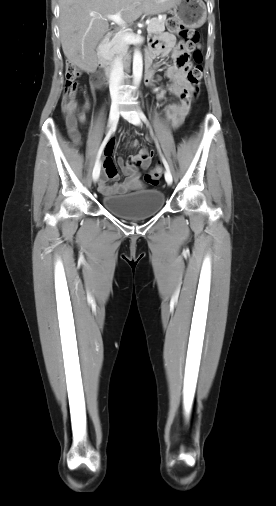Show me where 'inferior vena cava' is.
Returning <instances> with one entry per match:
<instances>
[{"label":"inferior vena cava","mask_w":276,"mask_h":506,"mask_svg":"<svg viewBox=\"0 0 276 506\" xmlns=\"http://www.w3.org/2000/svg\"><path fill=\"white\" fill-rule=\"evenodd\" d=\"M123 78V64L122 59L117 58L110 73V95L112 102L117 103L121 99L120 86Z\"/></svg>","instance_id":"1"}]
</instances>
